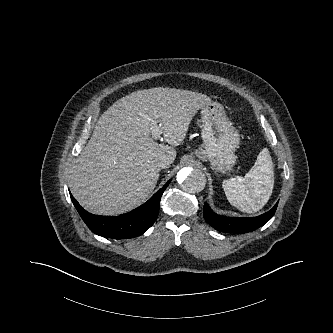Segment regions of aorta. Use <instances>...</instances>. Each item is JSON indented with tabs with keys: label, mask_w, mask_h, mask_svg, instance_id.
Segmentation results:
<instances>
[{
	"label": "aorta",
	"mask_w": 333,
	"mask_h": 333,
	"mask_svg": "<svg viewBox=\"0 0 333 333\" xmlns=\"http://www.w3.org/2000/svg\"><path fill=\"white\" fill-rule=\"evenodd\" d=\"M180 187L187 193L201 192L206 185V177L199 169L183 168L177 173Z\"/></svg>",
	"instance_id": "obj_1"
}]
</instances>
